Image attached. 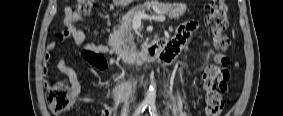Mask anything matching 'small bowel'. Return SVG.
Returning <instances> with one entry per match:
<instances>
[{
  "label": "small bowel",
  "mask_w": 283,
  "mask_h": 116,
  "mask_svg": "<svg viewBox=\"0 0 283 116\" xmlns=\"http://www.w3.org/2000/svg\"><path fill=\"white\" fill-rule=\"evenodd\" d=\"M83 21V17L74 11L72 8L67 7L64 10V25L66 30L59 36V42H63L67 37H71L75 46L82 50V57L91 65L97 67L99 70L106 69V61L100 55L101 53H107L108 48L98 42H88L86 39L85 32L76 25ZM197 27L195 21H189L184 23L179 28V34L174 38L171 43L168 45V48L162 54V61L165 63L166 58L172 57L177 54L188 42L190 33ZM56 47V43H51L48 46V50L52 51ZM49 55L47 56V58ZM58 70L64 74L69 81L71 89L75 96H79L81 92V85L78 79L76 71L70 67L64 58H60L57 61ZM189 87L192 95L197 101H200L202 98V93L197 85V83L189 78H181L179 81V88L176 92L177 96H180L183 89ZM103 106L101 115L110 116L118 108L121 110L122 116H130L131 112L129 110L130 100H117V105H108L104 102H100ZM119 104V105H118Z\"/></svg>",
  "instance_id": "1"
}]
</instances>
